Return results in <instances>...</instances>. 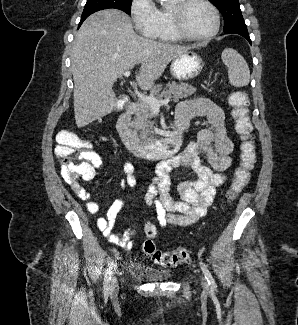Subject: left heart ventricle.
I'll list each match as a JSON object with an SVG mask.
<instances>
[{
  "instance_id": "b2bd125f",
  "label": "left heart ventricle",
  "mask_w": 298,
  "mask_h": 325,
  "mask_svg": "<svg viewBox=\"0 0 298 325\" xmlns=\"http://www.w3.org/2000/svg\"><path fill=\"white\" fill-rule=\"evenodd\" d=\"M183 30L193 37H204L213 29V18L209 11L199 3H191L180 14Z\"/></svg>"
}]
</instances>
